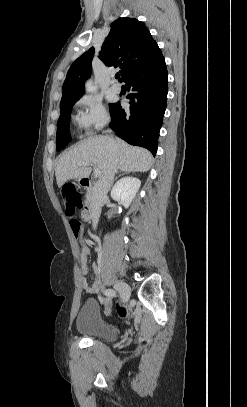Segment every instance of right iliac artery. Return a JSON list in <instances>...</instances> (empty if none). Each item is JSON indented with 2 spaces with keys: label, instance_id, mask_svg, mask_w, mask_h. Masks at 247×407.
<instances>
[{
  "label": "right iliac artery",
  "instance_id": "1",
  "mask_svg": "<svg viewBox=\"0 0 247 407\" xmlns=\"http://www.w3.org/2000/svg\"><path fill=\"white\" fill-rule=\"evenodd\" d=\"M104 294H105L106 296H108V297H113V296H115V295L117 294V291L114 290V289H106V290L104 291Z\"/></svg>",
  "mask_w": 247,
  "mask_h": 407
}]
</instances>
